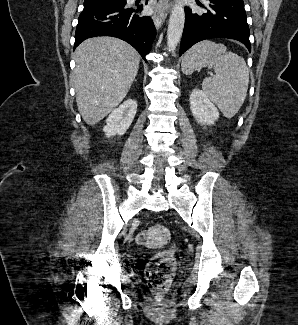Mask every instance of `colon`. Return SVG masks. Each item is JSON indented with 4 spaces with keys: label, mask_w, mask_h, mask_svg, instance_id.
Segmentation results:
<instances>
[{
    "label": "colon",
    "mask_w": 298,
    "mask_h": 325,
    "mask_svg": "<svg viewBox=\"0 0 298 325\" xmlns=\"http://www.w3.org/2000/svg\"><path fill=\"white\" fill-rule=\"evenodd\" d=\"M139 245L148 248H168L155 254L149 261L145 276L149 288L159 297H163L174 276V249L169 246L171 239L168 229L163 225H154L137 236Z\"/></svg>",
    "instance_id": "5ec220e1"
}]
</instances>
